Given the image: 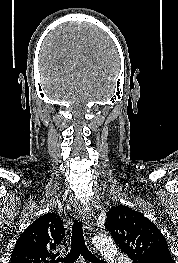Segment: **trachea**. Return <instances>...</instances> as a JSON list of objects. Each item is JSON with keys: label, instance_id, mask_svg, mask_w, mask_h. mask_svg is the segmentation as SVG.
Segmentation results:
<instances>
[{"label": "trachea", "instance_id": "3493384b", "mask_svg": "<svg viewBox=\"0 0 178 263\" xmlns=\"http://www.w3.org/2000/svg\"><path fill=\"white\" fill-rule=\"evenodd\" d=\"M80 255L91 263H105L88 250L83 236V223L79 220H75L72 226L70 252L65 257L58 258L56 263H74Z\"/></svg>", "mask_w": 178, "mask_h": 263}]
</instances>
